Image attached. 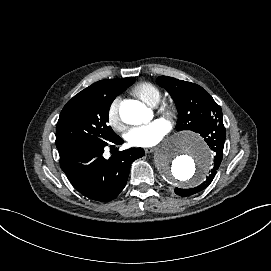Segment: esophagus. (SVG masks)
Listing matches in <instances>:
<instances>
[{
  "label": "esophagus",
  "instance_id": "34e87169",
  "mask_svg": "<svg viewBox=\"0 0 271 271\" xmlns=\"http://www.w3.org/2000/svg\"><path fill=\"white\" fill-rule=\"evenodd\" d=\"M156 150V147H148V148H145V153L146 154H149V153H152Z\"/></svg>",
  "mask_w": 271,
  "mask_h": 271
}]
</instances>
